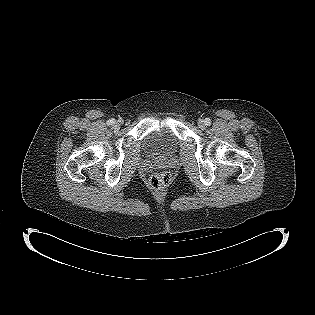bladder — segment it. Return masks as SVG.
<instances>
[{
	"instance_id": "1",
	"label": "bladder",
	"mask_w": 315,
	"mask_h": 315,
	"mask_svg": "<svg viewBox=\"0 0 315 315\" xmlns=\"http://www.w3.org/2000/svg\"><path fill=\"white\" fill-rule=\"evenodd\" d=\"M148 154L153 157H169L177 149V139L168 129L150 133L144 142Z\"/></svg>"
}]
</instances>
